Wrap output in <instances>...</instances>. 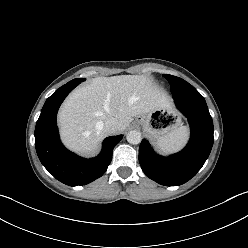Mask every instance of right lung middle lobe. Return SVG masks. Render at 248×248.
Returning <instances> with one entry per match:
<instances>
[{
  "label": "right lung middle lobe",
  "instance_id": "right-lung-middle-lobe-1",
  "mask_svg": "<svg viewBox=\"0 0 248 248\" xmlns=\"http://www.w3.org/2000/svg\"><path fill=\"white\" fill-rule=\"evenodd\" d=\"M85 79L84 78H77V79H74V80H72V81H80V82H82V81H84Z\"/></svg>",
  "mask_w": 248,
  "mask_h": 248
}]
</instances>
